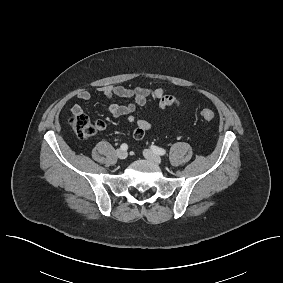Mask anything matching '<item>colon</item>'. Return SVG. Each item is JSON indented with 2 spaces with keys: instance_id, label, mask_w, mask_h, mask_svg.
Returning a JSON list of instances; mask_svg holds the SVG:
<instances>
[{
  "instance_id": "1",
  "label": "colon",
  "mask_w": 283,
  "mask_h": 283,
  "mask_svg": "<svg viewBox=\"0 0 283 283\" xmlns=\"http://www.w3.org/2000/svg\"><path fill=\"white\" fill-rule=\"evenodd\" d=\"M200 116L205 121H212L215 118V113L210 109H202L200 111ZM70 124L75 135L81 139L91 137L104 128V123L102 121L92 123L83 113L75 114L70 119Z\"/></svg>"
}]
</instances>
